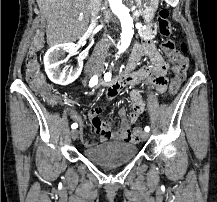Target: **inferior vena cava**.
<instances>
[{"label": "inferior vena cava", "mask_w": 217, "mask_h": 202, "mask_svg": "<svg viewBox=\"0 0 217 202\" xmlns=\"http://www.w3.org/2000/svg\"><path fill=\"white\" fill-rule=\"evenodd\" d=\"M101 2L102 0H89V10L92 20L95 18L97 12H99ZM106 48L107 46L102 44V46H99L97 50H94L93 56H95V58H106V56H108V50H106Z\"/></svg>", "instance_id": "obj_1"}]
</instances>
